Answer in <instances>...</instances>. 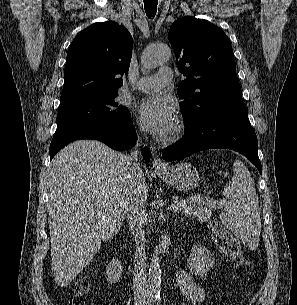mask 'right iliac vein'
<instances>
[{"label": "right iliac vein", "instance_id": "obj_1", "mask_svg": "<svg viewBox=\"0 0 297 305\" xmlns=\"http://www.w3.org/2000/svg\"><path fill=\"white\" fill-rule=\"evenodd\" d=\"M137 305H146V304H142V303H140V304H137Z\"/></svg>", "mask_w": 297, "mask_h": 305}]
</instances>
